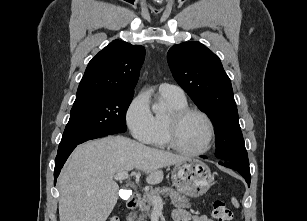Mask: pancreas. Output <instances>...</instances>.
I'll return each instance as SVG.
<instances>
[{"label":"pancreas","instance_id":"cf45deb5","mask_svg":"<svg viewBox=\"0 0 307 221\" xmlns=\"http://www.w3.org/2000/svg\"><path fill=\"white\" fill-rule=\"evenodd\" d=\"M160 195L169 196L172 204L177 208H190L189 199L185 198V196L180 194L178 191H175L170 187H158L151 189L148 193L143 195V198L139 202V216L134 213L130 216L129 221H146L147 217L150 216L154 206L152 203V198L154 196L160 197Z\"/></svg>","mask_w":307,"mask_h":221}]
</instances>
